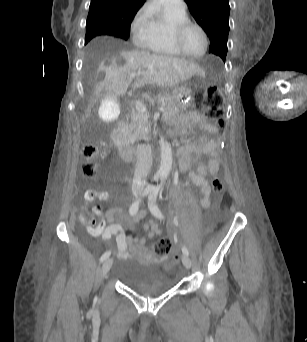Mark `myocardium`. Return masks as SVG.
<instances>
[{
  "label": "myocardium",
  "instance_id": "myocardium-1",
  "mask_svg": "<svg viewBox=\"0 0 307 342\" xmlns=\"http://www.w3.org/2000/svg\"><path fill=\"white\" fill-rule=\"evenodd\" d=\"M192 25H197L204 36V50L202 52V54H200L199 56H192L190 55L184 46V36L185 33L187 31V29L192 26ZM173 43L175 45V47L178 49V51L186 58L190 59V60H194V61H198L203 59L209 50V34H208V30L206 28V26L204 25L203 22H201L198 19L195 18H186L183 19L179 22H177L174 26H173Z\"/></svg>",
  "mask_w": 307,
  "mask_h": 342
}]
</instances>
